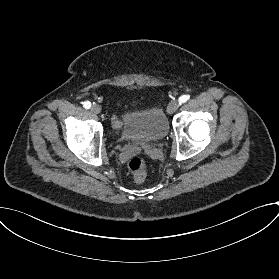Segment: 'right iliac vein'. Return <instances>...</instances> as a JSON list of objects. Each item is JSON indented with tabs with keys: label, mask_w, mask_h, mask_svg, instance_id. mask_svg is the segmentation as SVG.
<instances>
[{
	"label": "right iliac vein",
	"mask_w": 279,
	"mask_h": 279,
	"mask_svg": "<svg viewBox=\"0 0 279 279\" xmlns=\"http://www.w3.org/2000/svg\"><path fill=\"white\" fill-rule=\"evenodd\" d=\"M90 112L94 115L99 114L101 112V107L97 104H94L91 106Z\"/></svg>",
	"instance_id": "obj_1"
}]
</instances>
